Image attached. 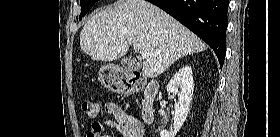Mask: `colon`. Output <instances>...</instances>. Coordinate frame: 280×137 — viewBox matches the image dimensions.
<instances>
[{"label":"colon","instance_id":"obj_1","mask_svg":"<svg viewBox=\"0 0 280 137\" xmlns=\"http://www.w3.org/2000/svg\"><path fill=\"white\" fill-rule=\"evenodd\" d=\"M82 110L91 118L96 117L99 114L100 107L98 102L93 100H85L82 103ZM132 137L136 136L139 131V126L136 123H131L129 126Z\"/></svg>","mask_w":280,"mask_h":137}]
</instances>
